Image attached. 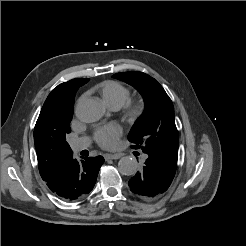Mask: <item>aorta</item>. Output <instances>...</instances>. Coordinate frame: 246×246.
<instances>
[{"instance_id":"aorta-1","label":"aorta","mask_w":246,"mask_h":246,"mask_svg":"<svg viewBox=\"0 0 246 246\" xmlns=\"http://www.w3.org/2000/svg\"><path fill=\"white\" fill-rule=\"evenodd\" d=\"M76 117L85 123L98 121L103 114L101 102L95 98H87L78 102L75 108ZM118 170L121 174L130 176L138 170V163L131 156L122 157L118 163Z\"/></svg>"}]
</instances>
